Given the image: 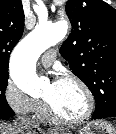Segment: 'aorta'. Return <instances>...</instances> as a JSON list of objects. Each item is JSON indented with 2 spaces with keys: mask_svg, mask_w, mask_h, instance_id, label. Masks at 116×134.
<instances>
[{
  "mask_svg": "<svg viewBox=\"0 0 116 134\" xmlns=\"http://www.w3.org/2000/svg\"><path fill=\"white\" fill-rule=\"evenodd\" d=\"M67 30L65 21L41 22L16 46L11 57L10 75L20 90L31 96L42 92L47 80L36 74V60L45 50L60 42Z\"/></svg>",
  "mask_w": 116,
  "mask_h": 134,
  "instance_id": "762f6f07",
  "label": "aorta"
}]
</instances>
